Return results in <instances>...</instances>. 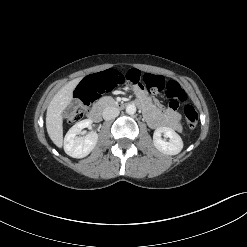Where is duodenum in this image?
Segmentation results:
<instances>
[{
  "label": "duodenum",
  "mask_w": 247,
  "mask_h": 247,
  "mask_svg": "<svg viewBox=\"0 0 247 247\" xmlns=\"http://www.w3.org/2000/svg\"><path fill=\"white\" fill-rule=\"evenodd\" d=\"M128 104H133L136 105L137 107L142 108V104L139 101H135L132 103H126V102H114L112 103V106L117 109H123L125 108ZM89 118L93 122H99L102 118V108L101 107H95L94 109L91 110L89 114Z\"/></svg>",
  "instance_id": "410a0bca"
}]
</instances>
